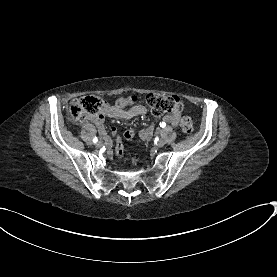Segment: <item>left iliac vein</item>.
Masks as SVG:
<instances>
[{"instance_id":"obj_1","label":"left iliac vein","mask_w":277,"mask_h":277,"mask_svg":"<svg viewBox=\"0 0 277 277\" xmlns=\"http://www.w3.org/2000/svg\"><path fill=\"white\" fill-rule=\"evenodd\" d=\"M164 144H165V141H164V139H159V141H158V143H157V145L159 146V147H163L164 146Z\"/></svg>"}]
</instances>
